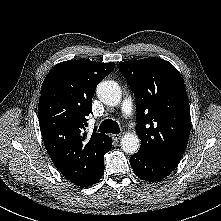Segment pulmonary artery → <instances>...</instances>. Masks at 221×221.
I'll return each instance as SVG.
<instances>
[{
  "label": "pulmonary artery",
  "mask_w": 221,
  "mask_h": 221,
  "mask_svg": "<svg viewBox=\"0 0 221 221\" xmlns=\"http://www.w3.org/2000/svg\"><path fill=\"white\" fill-rule=\"evenodd\" d=\"M122 110L128 118H132L134 115L133 105L130 100L125 99L122 102Z\"/></svg>",
  "instance_id": "e3ab8cb5"
}]
</instances>
